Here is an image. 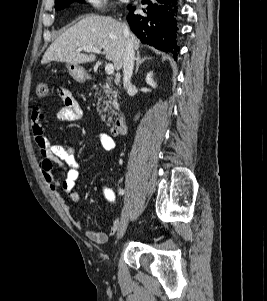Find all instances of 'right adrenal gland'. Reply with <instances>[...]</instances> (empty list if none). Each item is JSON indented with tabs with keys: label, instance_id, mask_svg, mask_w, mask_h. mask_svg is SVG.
Masks as SVG:
<instances>
[{
	"label": "right adrenal gland",
	"instance_id": "1",
	"mask_svg": "<svg viewBox=\"0 0 267 301\" xmlns=\"http://www.w3.org/2000/svg\"><path fill=\"white\" fill-rule=\"evenodd\" d=\"M151 59H152V57L141 58L140 52L137 51L136 68H135V72L134 73L137 74L140 64H142L143 62H145L147 60H151Z\"/></svg>",
	"mask_w": 267,
	"mask_h": 301
}]
</instances>
